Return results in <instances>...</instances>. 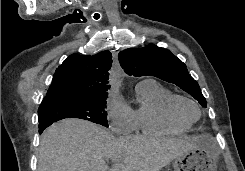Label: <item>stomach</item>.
<instances>
[{"label":"stomach","mask_w":245,"mask_h":171,"mask_svg":"<svg viewBox=\"0 0 245 171\" xmlns=\"http://www.w3.org/2000/svg\"><path fill=\"white\" fill-rule=\"evenodd\" d=\"M174 171H217V155L214 144L208 139L173 162Z\"/></svg>","instance_id":"0dacf381"}]
</instances>
